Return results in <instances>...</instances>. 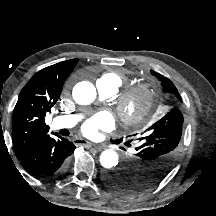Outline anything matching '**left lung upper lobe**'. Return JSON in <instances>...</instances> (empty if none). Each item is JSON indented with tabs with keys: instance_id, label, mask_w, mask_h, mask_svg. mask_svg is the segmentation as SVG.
<instances>
[{
	"instance_id": "left-lung-upper-lobe-1",
	"label": "left lung upper lobe",
	"mask_w": 216,
	"mask_h": 216,
	"mask_svg": "<svg viewBox=\"0 0 216 216\" xmlns=\"http://www.w3.org/2000/svg\"><path fill=\"white\" fill-rule=\"evenodd\" d=\"M151 74L161 81L163 92L171 94L175 101L164 117L136 139L138 145L135 153L126 159L123 168L111 171L123 170L107 181L115 191L123 195H135L158 184L170 172L180 153L183 115L178 107L181 97L168 78L153 70ZM116 141L121 142L122 139Z\"/></svg>"
}]
</instances>
